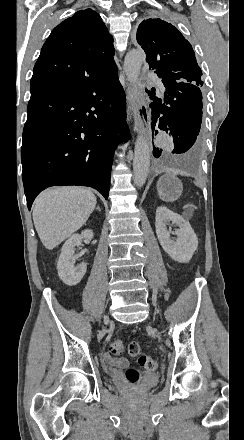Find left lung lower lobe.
Masks as SVG:
<instances>
[{
  "label": "left lung lower lobe",
  "mask_w": 244,
  "mask_h": 440,
  "mask_svg": "<svg viewBox=\"0 0 244 440\" xmlns=\"http://www.w3.org/2000/svg\"><path fill=\"white\" fill-rule=\"evenodd\" d=\"M166 88L164 98L155 97V90L147 91L152 109V132L168 133L174 142L172 153H185L196 145L202 121V94L200 85L162 80ZM202 85V84H201ZM162 149L153 146V155L158 158Z\"/></svg>",
  "instance_id": "0a47b994"
}]
</instances>
